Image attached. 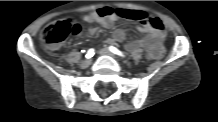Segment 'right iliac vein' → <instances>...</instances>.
<instances>
[{
	"label": "right iliac vein",
	"instance_id": "63e3f726",
	"mask_svg": "<svg viewBox=\"0 0 218 122\" xmlns=\"http://www.w3.org/2000/svg\"><path fill=\"white\" fill-rule=\"evenodd\" d=\"M90 64H91V59H85L81 62L80 66L81 68L85 69L89 67Z\"/></svg>",
	"mask_w": 218,
	"mask_h": 122
}]
</instances>
